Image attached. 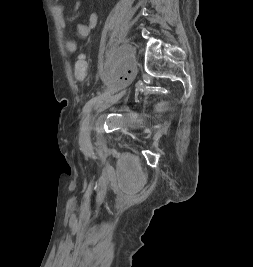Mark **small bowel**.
I'll return each instance as SVG.
<instances>
[{
  "instance_id": "small-bowel-1",
  "label": "small bowel",
  "mask_w": 253,
  "mask_h": 267,
  "mask_svg": "<svg viewBox=\"0 0 253 267\" xmlns=\"http://www.w3.org/2000/svg\"><path fill=\"white\" fill-rule=\"evenodd\" d=\"M58 1V0H55ZM53 12L55 13L58 23L64 38L65 49L68 53H75L78 49L77 41L67 37L66 22L63 14V7L59 4L53 6ZM98 16L95 12L89 14L87 23H77L76 33L80 38H86L90 34L91 30L96 26Z\"/></svg>"
}]
</instances>
